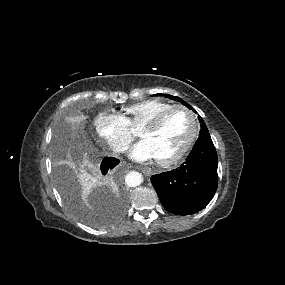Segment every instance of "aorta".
<instances>
[{
    "label": "aorta",
    "instance_id": "762f6f07",
    "mask_svg": "<svg viewBox=\"0 0 285 285\" xmlns=\"http://www.w3.org/2000/svg\"><path fill=\"white\" fill-rule=\"evenodd\" d=\"M126 184L130 187H136L143 181V177L140 173L132 171L126 175Z\"/></svg>",
    "mask_w": 285,
    "mask_h": 285
}]
</instances>
